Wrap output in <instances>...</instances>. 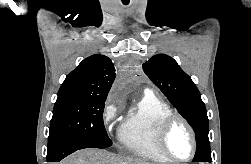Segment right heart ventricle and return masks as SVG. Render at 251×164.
Here are the masks:
<instances>
[{"label":"right heart ventricle","mask_w":251,"mask_h":164,"mask_svg":"<svg viewBox=\"0 0 251 164\" xmlns=\"http://www.w3.org/2000/svg\"><path fill=\"white\" fill-rule=\"evenodd\" d=\"M172 113L173 110L166 101L153 93H145L121 123L118 132L120 145L141 158L169 163L158 148L157 130L161 121Z\"/></svg>","instance_id":"obj_1"}]
</instances>
